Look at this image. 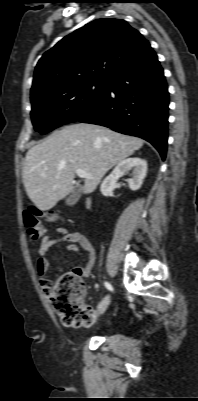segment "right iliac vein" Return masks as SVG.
<instances>
[{"mask_svg": "<svg viewBox=\"0 0 198 401\" xmlns=\"http://www.w3.org/2000/svg\"><path fill=\"white\" fill-rule=\"evenodd\" d=\"M106 298H107V300H106V305H105L104 308L100 309V312H101V313L105 311V309L107 308V306H108V304H109V297H106Z\"/></svg>", "mask_w": 198, "mask_h": 401, "instance_id": "1", "label": "right iliac vein"}]
</instances>
